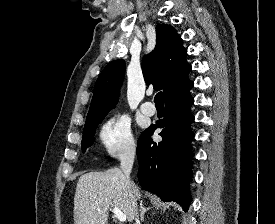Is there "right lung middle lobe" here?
I'll return each mask as SVG.
<instances>
[{
	"instance_id": "dd1d6c3e",
	"label": "right lung middle lobe",
	"mask_w": 275,
	"mask_h": 224,
	"mask_svg": "<svg viewBox=\"0 0 275 224\" xmlns=\"http://www.w3.org/2000/svg\"><path fill=\"white\" fill-rule=\"evenodd\" d=\"M104 118H101L97 121H94L84 127L83 131V137H82V149L83 151L86 150L87 147H89L93 142V137L95 134V130L98 126V124L103 120Z\"/></svg>"
}]
</instances>
